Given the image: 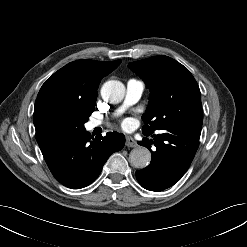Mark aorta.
<instances>
[{
	"label": "aorta",
	"instance_id": "1",
	"mask_svg": "<svg viewBox=\"0 0 247 247\" xmlns=\"http://www.w3.org/2000/svg\"><path fill=\"white\" fill-rule=\"evenodd\" d=\"M125 95L124 85L117 80H110L103 84L101 88L102 98L112 104L121 102ZM129 161L135 168L143 169L147 167L151 161L150 151L142 146L131 150Z\"/></svg>",
	"mask_w": 247,
	"mask_h": 247
}]
</instances>
